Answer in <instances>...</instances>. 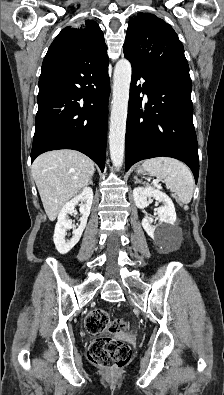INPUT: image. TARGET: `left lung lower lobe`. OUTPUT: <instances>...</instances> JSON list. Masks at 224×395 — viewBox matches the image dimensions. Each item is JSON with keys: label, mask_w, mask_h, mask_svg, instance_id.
Listing matches in <instances>:
<instances>
[{"label": "left lung lower lobe", "mask_w": 224, "mask_h": 395, "mask_svg": "<svg viewBox=\"0 0 224 395\" xmlns=\"http://www.w3.org/2000/svg\"><path fill=\"white\" fill-rule=\"evenodd\" d=\"M132 64V63H131ZM143 78V87L137 81ZM189 80L132 64L126 126L125 170L136 162L167 156L179 159L198 180L199 157ZM140 92L148 96L142 104Z\"/></svg>", "instance_id": "left-lung-lower-lobe-1"}]
</instances>
